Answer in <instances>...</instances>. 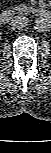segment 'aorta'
I'll use <instances>...</instances> for the list:
<instances>
[{
	"instance_id": "1",
	"label": "aorta",
	"mask_w": 51,
	"mask_h": 153,
	"mask_svg": "<svg viewBox=\"0 0 51 153\" xmlns=\"http://www.w3.org/2000/svg\"><path fill=\"white\" fill-rule=\"evenodd\" d=\"M51 21L49 17H40L35 20L34 28L39 32H44L50 29Z\"/></svg>"
}]
</instances>
